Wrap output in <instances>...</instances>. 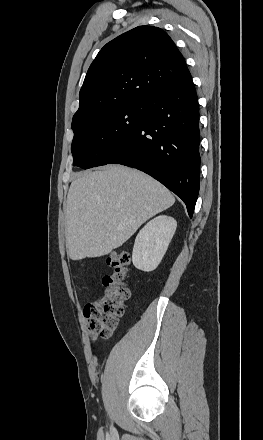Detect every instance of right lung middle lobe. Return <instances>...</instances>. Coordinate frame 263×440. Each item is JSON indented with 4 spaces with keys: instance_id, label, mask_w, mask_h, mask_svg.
<instances>
[{
    "instance_id": "obj_1",
    "label": "right lung middle lobe",
    "mask_w": 263,
    "mask_h": 440,
    "mask_svg": "<svg viewBox=\"0 0 263 440\" xmlns=\"http://www.w3.org/2000/svg\"><path fill=\"white\" fill-rule=\"evenodd\" d=\"M145 117V102H133L103 110L72 128L74 165L88 169L106 165L116 146L124 142Z\"/></svg>"
}]
</instances>
